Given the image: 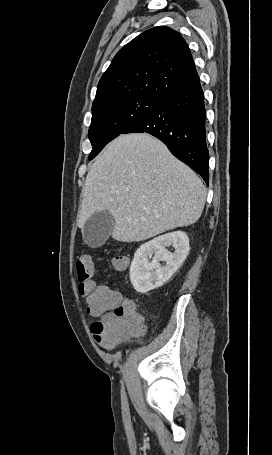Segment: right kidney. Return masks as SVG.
Returning <instances> with one entry per match:
<instances>
[{
  "mask_svg": "<svg viewBox=\"0 0 272 455\" xmlns=\"http://www.w3.org/2000/svg\"><path fill=\"white\" fill-rule=\"evenodd\" d=\"M168 246L175 248L174 253L167 251ZM189 249V238L183 231L164 234L142 244L130 266V280L135 290L147 293L162 286L182 265ZM160 261H165L166 266L161 267Z\"/></svg>",
  "mask_w": 272,
  "mask_h": 455,
  "instance_id": "ca27d5eb",
  "label": "right kidney"
}]
</instances>
